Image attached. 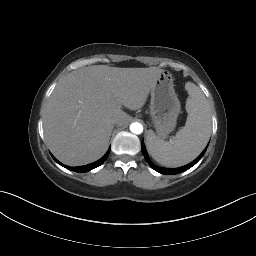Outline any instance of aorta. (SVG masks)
Here are the masks:
<instances>
[{
	"mask_svg": "<svg viewBox=\"0 0 256 256\" xmlns=\"http://www.w3.org/2000/svg\"><path fill=\"white\" fill-rule=\"evenodd\" d=\"M130 131L134 134H141L143 132V126L139 122H134L130 125Z\"/></svg>",
	"mask_w": 256,
	"mask_h": 256,
	"instance_id": "aorta-1",
	"label": "aorta"
}]
</instances>
